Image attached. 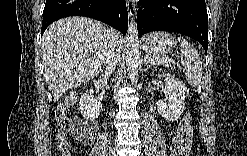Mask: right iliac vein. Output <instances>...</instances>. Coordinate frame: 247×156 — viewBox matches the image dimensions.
<instances>
[{
  "mask_svg": "<svg viewBox=\"0 0 247 156\" xmlns=\"http://www.w3.org/2000/svg\"><path fill=\"white\" fill-rule=\"evenodd\" d=\"M113 155H114V156H116V153H115V152H113Z\"/></svg>",
  "mask_w": 247,
  "mask_h": 156,
  "instance_id": "63e3f726",
  "label": "right iliac vein"
}]
</instances>
